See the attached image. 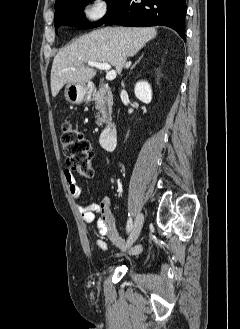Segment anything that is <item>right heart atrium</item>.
<instances>
[{
  "mask_svg": "<svg viewBox=\"0 0 240 329\" xmlns=\"http://www.w3.org/2000/svg\"><path fill=\"white\" fill-rule=\"evenodd\" d=\"M107 13V0H92L85 9L84 16L89 22H97Z\"/></svg>",
  "mask_w": 240,
  "mask_h": 329,
  "instance_id": "right-heart-atrium-1",
  "label": "right heart atrium"
}]
</instances>
